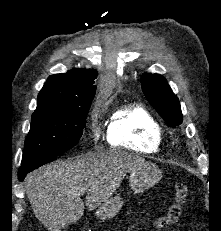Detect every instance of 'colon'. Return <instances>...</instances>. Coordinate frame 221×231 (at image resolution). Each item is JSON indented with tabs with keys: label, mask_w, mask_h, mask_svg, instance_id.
Returning a JSON list of instances; mask_svg holds the SVG:
<instances>
[{
	"label": "colon",
	"mask_w": 221,
	"mask_h": 231,
	"mask_svg": "<svg viewBox=\"0 0 221 231\" xmlns=\"http://www.w3.org/2000/svg\"><path fill=\"white\" fill-rule=\"evenodd\" d=\"M190 188L185 183H177L174 191V201L169 209L155 221L156 228H163L175 224L180 219L186 204Z\"/></svg>",
	"instance_id": "obj_1"
}]
</instances>
